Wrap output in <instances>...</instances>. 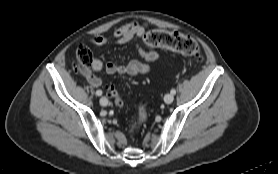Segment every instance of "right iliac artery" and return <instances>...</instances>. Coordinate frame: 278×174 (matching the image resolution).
Segmentation results:
<instances>
[{"label": "right iliac artery", "instance_id": "82829eb1", "mask_svg": "<svg viewBox=\"0 0 278 174\" xmlns=\"http://www.w3.org/2000/svg\"><path fill=\"white\" fill-rule=\"evenodd\" d=\"M96 95H97V96H101V95H102V91H101V90H97V91H96Z\"/></svg>", "mask_w": 278, "mask_h": 174}]
</instances>
